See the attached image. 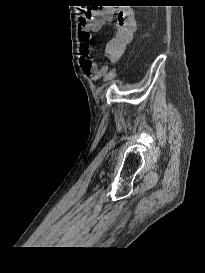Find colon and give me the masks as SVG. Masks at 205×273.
I'll return each instance as SVG.
<instances>
[{
    "label": "colon",
    "instance_id": "colon-1",
    "mask_svg": "<svg viewBox=\"0 0 205 273\" xmlns=\"http://www.w3.org/2000/svg\"><path fill=\"white\" fill-rule=\"evenodd\" d=\"M116 70L115 69H112L106 76V81L110 82V81H113L115 78H116Z\"/></svg>",
    "mask_w": 205,
    "mask_h": 273
}]
</instances>
